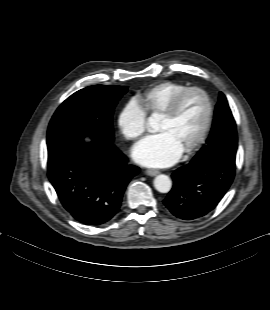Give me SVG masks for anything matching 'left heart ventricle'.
<instances>
[{"label":"left heart ventricle","instance_id":"b2bd125f","mask_svg":"<svg viewBox=\"0 0 270 310\" xmlns=\"http://www.w3.org/2000/svg\"><path fill=\"white\" fill-rule=\"evenodd\" d=\"M206 116V104L200 93L187 94L176 115L171 119L160 116L157 131L168 133L184 150L199 135Z\"/></svg>","mask_w":270,"mask_h":310}]
</instances>
